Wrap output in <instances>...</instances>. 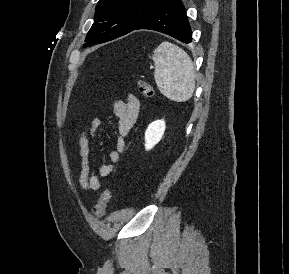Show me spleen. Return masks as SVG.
I'll list each match as a JSON object with an SVG mask.
<instances>
[{
    "label": "spleen",
    "mask_w": 289,
    "mask_h": 274,
    "mask_svg": "<svg viewBox=\"0 0 289 274\" xmlns=\"http://www.w3.org/2000/svg\"><path fill=\"white\" fill-rule=\"evenodd\" d=\"M154 79L160 92L170 100L185 102L195 89L194 64L188 54L177 45L162 42L152 56Z\"/></svg>",
    "instance_id": "1"
}]
</instances>
